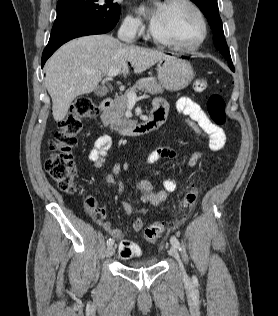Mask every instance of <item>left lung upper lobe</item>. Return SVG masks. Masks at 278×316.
<instances>
[{
    "mask_svg": "<svg viewBox=\"0 0 278 316\" xmlns=\"http://www.w3.org/2000/svg\"><path fill=\"white\" fill-rule=\"evenodd\" d=\"M206 16L211 29L213 31V39L215 47L228 60L229 67L232 71L234 66L231 60L230 52L224 37L222 21L219 16V9L217 0H192Z\"/></svg>",
    "mask_w": 278,
    "mask_h": 316,
    "instance_id": "obj_1",
    "label": "left lung upper lobe"
}]
</instances>
